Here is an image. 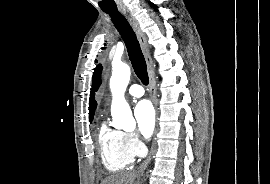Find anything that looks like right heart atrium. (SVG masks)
Wrapping results in <instances>:
<instances>
[{
	"instance_id": "right-heart-atrium-1",
	"label": "right heart atrium",
	"mask_w": 270,
	"mask_h": 184,
	"mask_svg": "<svg viewBox=\"0 0 270 184\" xmlns=\"http://www.w3.org/2000/svg\"><path fill=\"white\" fill-rule=\"evenodd\" d=\"M126 144L134 155H141L143 153V145L141 141L133 133H125Z\"/></svg>"
}]
</instances>
